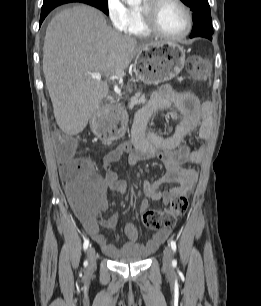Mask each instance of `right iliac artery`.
I'll return each instance as SVG.
<instances>
[{"label": "right iliac artery", "instance_id": "right-iliac-artery-1", "mask_svg": "<svg viewBox=\"0 0 261 306\" xmlns=\"http://www.w3.org/2000/svg\"><path fill=\"white\" fill-rule=\"evenodd\" d=\"M88 246H89V240L86 239V240L84 241V243H83V248H84L85 251L87 250ZM86 263H87V262H86Z\"/></svg>", "mask_w": 261, "mask_h": 306}]
</instances>
